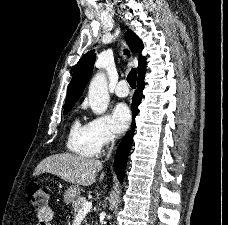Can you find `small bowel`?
Wrapping results in <instances>:
<instances>
[{"instance_id": "c3829d8e", "label": "small bowel", "mask_w": 228, "mask_h": 225, "mask_svg": "<svg viewBox=\"0 0 228 225\" xmlns=\"http://www.w3.org/2000/svg\"><path fill=\"white\" fill-rule=\"evenodd\" d=\"M38 225H52L53 211L47 207L37 214Z\"/></svg>"}]
</instances>
